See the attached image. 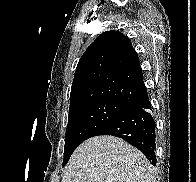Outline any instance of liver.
I'll use <instances>...</instances> for the list:
<instances>
[{"mask_svg": "<svg viewBox=\"0 0 196 182\" xmlns=\"http://www.w3.org/2000/svg\"><path fill=\"white\" fill-rule=\"evenodd\" d=\"M61 182H155L146 157L124 140L96 136L72 154Z\"/></svg>", "mask_w": 196, "mask_h": 182, "instance_id": "6515ba94", "label": "liver"}]
</instances>
